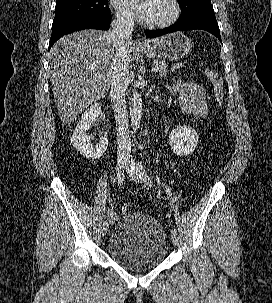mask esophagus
<instances>
[{
  "instance_id": "1",
  "label": "esophagus",
  "mask_w": 272,
  "mask_h": 303,
  "mask_svg": "<svg viewBox=\"0 0 272 303\" xmlns=\"http://www.w3.org/2000/svg\"><path fill=\"white\" fill-rule=\"evenodd\" d=\"M137 45H138L139 47H143V46H146L147 43H146L144 40L140 39V40H138Z\"/></svg>"
}]
</instances>
